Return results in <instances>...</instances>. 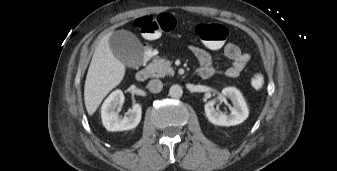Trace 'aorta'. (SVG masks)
Wrapping results in <instances>:
<instances>
[{"label":"aorta","instance_id":"762f6f07","mask_svg":"<svg viewBox=\"0 0 337 171\" xmlns=\"http://www.w3.org/2000/svg\"><path fill=\"white\" fill-rule=\"evenodd\" d=\"M169 95L172 97V98H175V99H178L180 97H182L183 95V89L180 85H172L169 89Z\"/></svg>","mask_w":337,"mask_h":171}]
</instances>
